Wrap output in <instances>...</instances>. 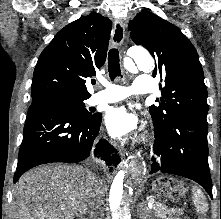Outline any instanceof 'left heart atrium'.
Segmentation results:
<instances>
[{"label":"left heart atrium","mask_w":221,"mask_h":219,"mask_svg":"<svg viewBox=\"0 0 221 219\" xmlns=\"http://www.w3.org/2000/svg\"><path fill=\"white\" fill-rule=\"evenodd\" d=\"M105 124L113 137L121 138L136 130L138 118L127 107L115 106L107 110Z\"/></svg>","instance_id":"39dd6f15"}]
</instances>
